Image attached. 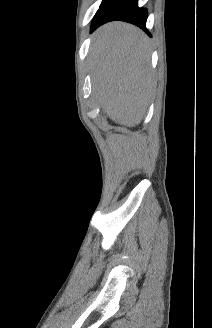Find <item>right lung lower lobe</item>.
Instances as JSON below:
<instances>
[{
	"label": "right lung lower lobe",
	"mask_w": 212,
	"mask_h": 328,
	"mask_svg": "<svg viewBox=\"0 0 212 328\" xmlns=\"http://www.w3.org/2000/svg\"><path fill=\"white\" fill-rule=\"evenodd\" d=\"M147 16V10L138 7V0H103L93 18L91 32L106 22L120 20L134 24L148 33Z\"/></svg>",
	"instance_id": "right-lung-lower-lobe-1"
}]
</instances>
